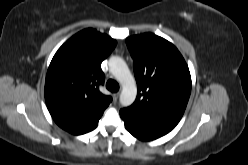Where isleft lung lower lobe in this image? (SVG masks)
Listing matches in <instances>:
<instances>
[{"instance_id": "1", "label": "left lung lower lobe", "mask_w": 248, "mask_h": 165, "mask_svg": "<svg viewBox=\"0 0 248 165\" xmlns=\"http://www.w3.org/2000/svg\"><path fill=\"white\" fill-rule=\"evenodd\" d=\"M120 116L124 121L126 129L140 140H154L171 131L151 123L140 121L124 113L122 110H120Z\"/></svg>"}]
</instances>
